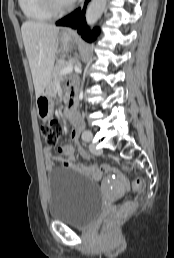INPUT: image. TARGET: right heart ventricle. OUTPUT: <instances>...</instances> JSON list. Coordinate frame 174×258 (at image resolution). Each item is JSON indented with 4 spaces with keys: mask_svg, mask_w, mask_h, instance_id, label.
Segmentation results:
<instances>
[{
    "mask_svg": "<svg viewBox=\"0 0 174 258\" xmlns=\"http://www.w3.org/2000/svg\"><path fill=\"white\" fill-rule=\"evenodd\" d=\"M19 6L24 16L30 21L44 22L52 17L42 0H19Z\"/></svg>",
    "mask_w": 174,
    "mask_h": 258,
    "instance_id": "right-heart-ventricle-1",
    "label": "right heart ventricle"
}]
</instances>
